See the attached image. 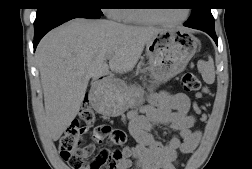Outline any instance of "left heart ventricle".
I'll list each match as a JSON object with an SVG mask.
<instances>
[{
    "instance_id": "obj_1",
    "label": "left heart ventricle",
    "mask_w": 252,
    "mask_h": 169,
    "mask_svg": "<svg viewBox=\"0 0 252 169\" xmlns=\"http://www.w3.org/2000/svg\"><path fill=\"white\" fill-rule=\"evenodd\" d=\"M184 14L182 9H171V10H164L158 11L155 13L157 17L167 19V20H177L180 19Z\"/></svg>"
}]
</instances>
